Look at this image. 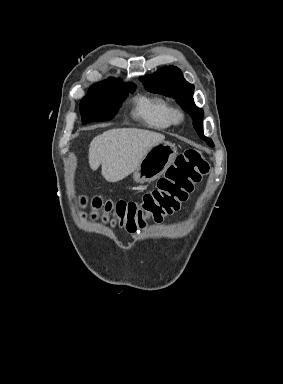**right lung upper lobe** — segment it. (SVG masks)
Listing matches in <instances>:
<instances>
[{"label": "right lung upper lobe", "mask_w": 283, "mask_h": 384, "mask_svg": "<svg viewBox=\"0 0 283 384\" xmlns=\"http://www.w3.org/2000/svg\"><path fill=\"white\" fill-rule=\"evenodd\" d=\"M115 84H123V83L120 80H117L115 78H109L107 80H104L102 82L92 85L91 88L105 87V86H110Z\"/></svg>", "instance_id": "obj_1"}]
</instances>
